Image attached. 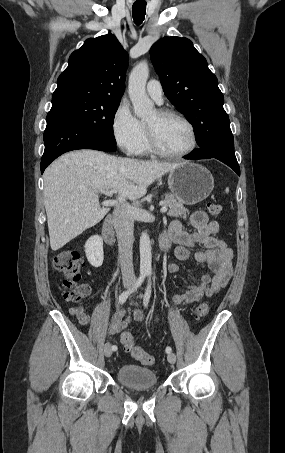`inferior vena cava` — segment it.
Wrapping results in <instances>:
<instances>
[{
  "instance_id": "1",
  "label": "inferior vena cava",
  "mask_w": 285,
  "mask_h": 453,
  "mask_svg": "<svg viewBox=\"0 0 285 453\" xmlns=\"http://www.w3.org/2000/svg\"><path fill=\"white\" fill-rule=\"evenodd\" d=\"M113 223L116 230L122 280L124 283L133 284L136 277L133 269V229L134 217L129 204L121 202L113 211Z\"/></svg>"
}]
</instances>
